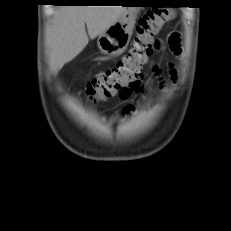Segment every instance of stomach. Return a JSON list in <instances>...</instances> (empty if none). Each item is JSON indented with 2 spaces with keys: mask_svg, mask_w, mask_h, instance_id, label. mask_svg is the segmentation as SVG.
<instances>
[{
  "mask_svg": "<svg viewBox=\"0 0 231 231\" xmlns=\"http://www.w3.org/2000/svg\"><path fill=\"white\" fill-rule=\"evenodd\" d=\"M138 7H130L119 19L98 37V47L100 51L108 56L122 54L131 39Z\"/></svg>",
  "mask_w": 231,
  "mask_h": 231,
  "instance_id": "obj_1",
  "label": "stomach"
}]
</instances>
